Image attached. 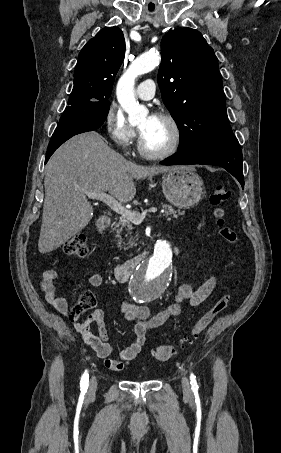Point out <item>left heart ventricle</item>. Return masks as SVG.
<instances>
[{
    "mask_svg": "<svg viewBox=\"0 0 281 453\" xmlns=\"http://www.w3.org/2000/svg\"><path fill=\"white\" fill-rule=\"evenodd\" d=\"M149 117L145 115L140 123L144 144L152 152H162L166 150L172 142V133L170 128L158 118L149 122Z\"/></svg>",
    "mask_w": 281,
    "mask_h": 453,
    "instance_id": "left-heart-ventricle-1",
    "label": "left heart ventricle"
}]
</instances>
